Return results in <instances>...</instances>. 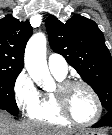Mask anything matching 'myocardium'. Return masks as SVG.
<instances>
[{"instance_id":"f54148a6","label":"myocardium","mask_w":112,"mask_h":135,"mask_svg":"<svg viewBox=\"0 0 112 135\" xmlns=\"http://www.w3.org/2000/svg\"><path fill=\"white\" fill-rule=\"evenodd\" d=\"M75 86H82L88 90L92 95L96 104V113L95 116L89 121H79L77 120L70 111L68 105V92L71 88ZM53 97L56 103V106L62 116L67 119L69 122L82 127H87L95 124L101 117L103 106L101 99L95 89L87 82L83 80H65L60 82L56 89L53 92Z\"/></svg>"}]
</instances>
